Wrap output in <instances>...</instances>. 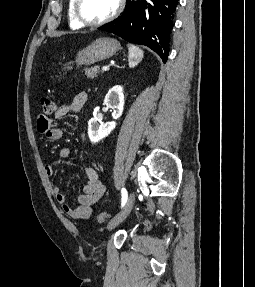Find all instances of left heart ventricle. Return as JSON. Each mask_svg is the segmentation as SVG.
<instances>
[{"label": "left heart ventricle", "instance_id": "b2bd125f", "mask_svg": "<svg viewBox=\"0 0 255 287\" xmlns=\"http://www.w3.org/2000/svg\"><path fill=\"white\" fill-rule=\"evenodd\" d=\"M95 33H108V32H95ZM105 48H117V47H105Z\"/></svg>", "mask_w": 255, "mask_h": 287}]
</instances>
